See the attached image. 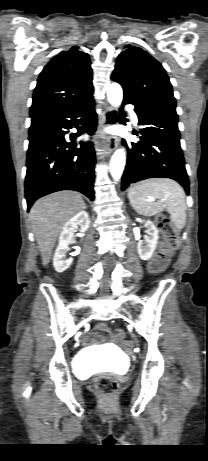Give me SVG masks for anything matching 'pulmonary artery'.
Wrapping results in <instances>:
<instances>
[{
  "instance_id": "obj_1",
  "label": "pulmonary artery",
  "mask_w": 208,
  "mask_h": 461,
  "mask_svg": "<svg viewBox=\"0 0 208 461\" xmlns=\"http://www.w3.org/2000/svg\"><path fill=\"white\" fill-rule=\"evenodd\" d=\"M132 120L134 124H138V119L135 113H132Z\"/></svg>"
}]
</instances>
